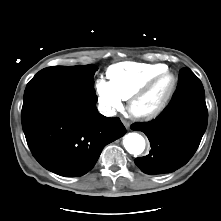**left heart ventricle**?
<instances>
[{"label": "left heart ventricle", "mask_w": 221, "mask_h": 221, "mask_svg": "<svg viewBox=\"0 0 221 221\" xmlns=\"http://www.w3.org/2000/svg\"><path fill=\"white\" fill-rule=\"evenodd\" d=\"M169 85L170 78L167 77L163 79L150 94L138 103L137 109L140 111H149L154 109L166 94Z\"/></svg>", "instance_id": "1"}]
</instances>
